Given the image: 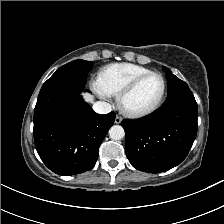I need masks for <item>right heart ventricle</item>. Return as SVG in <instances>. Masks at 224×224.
<instances>
[{
	"label": "right heart ventricle",
	"instance_id": "right-heart-ventricle-1",
	"mask_svg": "<svg viewBox=\"0 0 224 224\" xmlns=\"http://www.w3.org/2000/svg\"><path fill=\"white\" fill-rule=\"evenodd\" d=\"M148 72L151 70L136 64H111L100 72L98 81L106 93L117 95L134 78Z\"/></svg>",
	"mask_w": 224,
	"mask_h": 224
}]
</instances>
